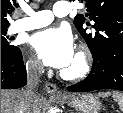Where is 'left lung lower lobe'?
I'll return each mask as SVG.
<instances>
[{
    "mask_svg": "<svg viewBox=\"0 0 123 113\" xmlns=\"http://www.w3.org/2000/svg\"><path fill=\"white\" fill-rule=\"evenodd\" d=\"M100 89L123 91V50L112 53L102 60L94 59L90 74L83 81L68 87L72 92Z\"/></svg>",
    "mask_w": 123,
    "mask_h": 113,
    "instance_id": "1",
    "label": "left lung lower lobe"
}]
</instances>
